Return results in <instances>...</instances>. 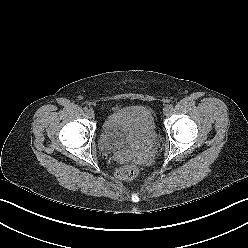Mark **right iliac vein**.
Returning <instances> with one entry per match:
<instances>
[{
    "label": "right iliac vein",
    "mask_w": 248,
    "mask_h": 248,
    "mask_svg": "<svg viewBox=\"0 0 248 248\" xmlns=\"http://www.w3.org/2000/svg\"><path fill=\"white\" fill-rule=\"evenodd\" d=\"M87 115H88L90 118H93L94 115H95V113H94V111H93L92 109H89V110L87 111Z\"/></svg>",
    "instance_id": "1"
}]
</instances>
